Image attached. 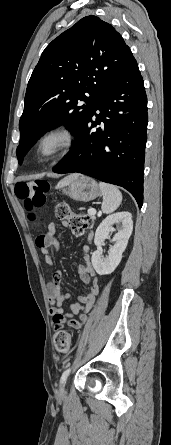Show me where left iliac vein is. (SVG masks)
I'll return each instance as SVG.
<instances>
[{"label":"left iliac vein","mask_w":171,"mask_h":445,"mask_svg":"<svg viewBox=\"0 0 171 445\" xmlns=\"http://www.w3.org/2000/svg\"><path fill=\"white\" fill-rule=\"evenodd\" d=\"M66 380H67V378H66ZM66 380H65V381L61 384V386H60V391H61V392L65 391Z\"/></svg>","instance_id":"obj_1"}]
</instances>
